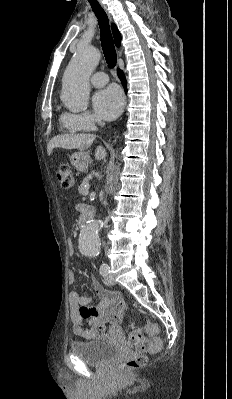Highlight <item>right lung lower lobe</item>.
Returning <instances> with one entry per match:
<instances>
[{
	"label": "right lung lower lobe",
	"mask_w": 232,
	"mask_h": 399,
	"mask_svg": "<svg viewBox=\"0 0 232 399\" xmlns=\"http://www.w3.org/2000/svg\"><path fill=\"white\" fill-rule=\"evenodd\" d=\"M117 73H118V75H119V77H120V79L122 81V84H123V86L125 88V91H126V80H125L124 74H123V72L121 70H118Z\"/></svg>",
	"instance_id": "right-lung-lower-lobe-1"
}]
</instances>
